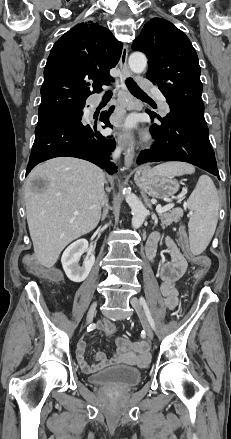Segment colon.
<instances>
[{
	"label": "colon",
	"mask_w": 231,
	"mask_h": 439,
	"mask_svg": "<svg viewBox=\"0 0 231 439\" xmlns=\"http://www.w3.org/2000/svg\"><path fill=\"white\" fill-rule=\"evenodd\" d=\"M180 242L182 245V248L184 249L185 253L187 254V257L189 260H191L194 264H196L199 267L200 273H204L208 270L210 266V259L205 255H194L189 250V245L187 241V236L185 233V230L183 228L180 229ZM26 266L27 268L37 274L46 276L50 279L57 280L60 278V273L57 270H45L43 269L35 260L34 258H28L26 260ZM202 280L205 278L203 275L200 277ZM198 279L197 281L200 283L202 280Z\"/></svg>",
	"instance_id": "5ec220e1"
}]
</instances>
